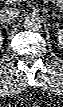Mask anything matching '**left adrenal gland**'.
Here are the masks:
<instances>
[{
    "mask_svg": "<svg viewBox=\"0 0 63 107\" xmlns=\"http://www.w3.org/2000/svg\"><path fill=\"white\" fill-rule=\"evenodd\" d=\"M52 17H53V18H61L62 16H61L60 14H55V13H53V14H52Z\"/></svg>",
    "mask_w": 63,
    "mask_h": 107,
    "instance_id": "a2214340",
    "label": "left adrenal gland"
}]
</instances>
